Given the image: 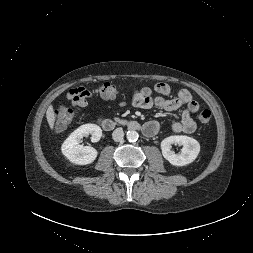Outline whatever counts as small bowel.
Wrapping results in <instances>:
<instances>
[{
	"mask_svg": "<svg viewBox=\"0 0 253 253\" xmlns=\"http://www.w3.org/2000/svg\"><path fill=\"white\" fill-rule=\"evenodd\" d=\"M157 96H153V94ZM171 94V87L164 82H159L153 88L143 87L136 90L132 94V104L141 109H160L165 111H175L182 106L181 118L179 121L172 123V130L175 133L192 134L196 130V124L192 118V114L199 110V104L195 101L191 93L187 89L178 91L176 97L166 98ZM91 93L84 87L70 89L64 96L69 100L75 109L84 108L88 105V99ZM144 133L147 136L155 135L159 130L157 121L151 120L145 123L143 127Z\"/></svg>",
	"mask_w": 253,
	"mask_h": 253,
	"instance_id": "1",
	"label": "small bowel"
}]
</instances>
